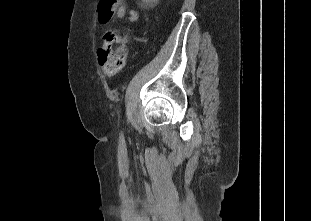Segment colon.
<instances>
[{
	"instance_id": "colon-1",
	"label": "colon",
	"mask_w": 311,
	"mask_h": 221,
	"mask_svg": "<svg viewBox=\"0 0 311 221\" xmlns=\"http://www.w3.org/2000/svg\"><path fill=\"white\" fill-rule=\"evenodd\" d=\"M121 0H103L100 2V10L97 22H108L109 17H116ZM126 37L114 30L106 31L103 37V45L99 48V57L103 65V73L108 78H113L124 67Z\"/></svg>"
}]
</instances>
